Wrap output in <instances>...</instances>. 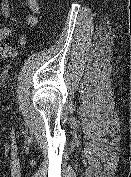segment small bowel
<instances>
[{
	"mask_svg": "<svg viewBox=\"0 0 131 177\" xmlns=\"http://www.w3.org/2000/svg\"><path fill=\"white\" fill-rule=\"evenodd\" d=\"M27 6L31 13L25 18L27 25L36 26L38 24V15L40 12V6L38 0H26ZM0 12L4 18H9L11 15V9L9 0H0ZM14 36V32L9 27H0V41L11 38ZM16 54L13 47L9 45L0 46V59L10 58Z\"/></svg>",
	"mask_w": 131,
	"mask_h": 177,
	"instance_id": "obj_1",
	"label": "small bowel"
}]
</instances>
